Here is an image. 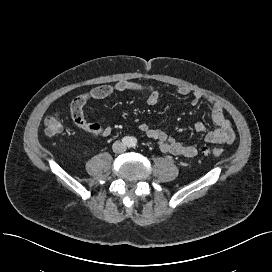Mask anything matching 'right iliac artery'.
Masks as SVG:
<instances>
[{"label": "right iliac artery", "instance_id": "82829eb1", "mask_svg": "<svg viewBox=\"0 0 272 272\" xmlns=\"http://www.w3.org/2000/svg\"><path fill=\"white\" fill-rule=\"evenodd\" d=\"M122 142H123L125 145H127V144L129 143V140H128V138L125 137V138L122 139Z\"/></svg>", "mask_w": 272, "mask_h": 272}]
</instances>
